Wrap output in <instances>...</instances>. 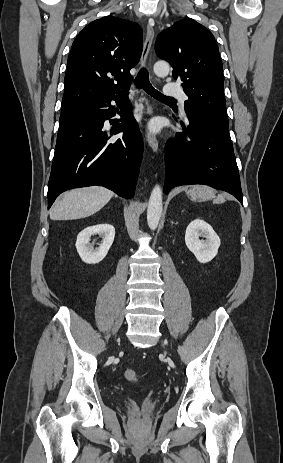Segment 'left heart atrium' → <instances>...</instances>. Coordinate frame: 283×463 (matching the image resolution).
I'll list each match as a JSON object with an SVG mask.
<instances>
[{"label": "left heart atrium", "mask_w": 283, "mask_h": 463, "mask_svg": "<svg viewBox=\"0 0 283 463\" xmlns=\"http://www.w3.org/2000/svg\"><path fill=\"white\" fill-rule=\"evenodd\" d=\"M150 127H151L152 130L156 131V130L159 129V124H158L157 121H153V122L151 123Z\"/></svg>", "instance_id": "left-heart-atrium-1"}]
</instances>
